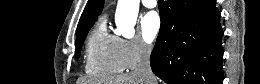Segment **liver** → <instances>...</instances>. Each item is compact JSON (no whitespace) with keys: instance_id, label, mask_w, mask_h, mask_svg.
<instances>
[{"instance_id":"liver-1","label":"liver","mask_w":260,"mask_h":84,"mask_svg":"<svg viewBox=\"0 0 260 84\" xmlns=\"http://www.w3.org/2000/svg\"><path fill=\"white\" fill-rule=\"evenodd\" d=\"M85 84H145L134 72L107 77L104 79H87Z\"/></svg>"}]
</instances>
